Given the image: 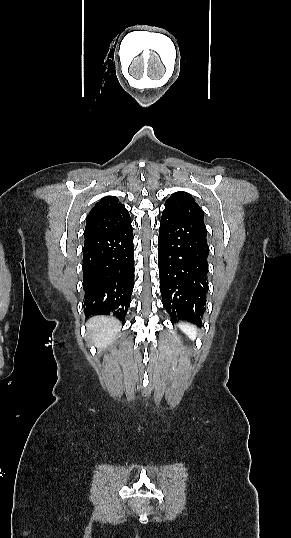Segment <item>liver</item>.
I'll list each match as a JSON object with an SVG mask.
<instances>
[{
  "instance_id": "liver-1",
  "label": "liver",
  "mask_w": 291,
  "mask_h": 538,
  "mask_svg": "<svg viewBox=\"0 0 291 538\" xmlns=\"http://www.w3.org/2000/svg\"><path fill=\"white\" fill-rule=\"evenodd\" d=\"M91 341L100 349L107 348L116 338L121 328L120 322L112 316H96L87 322Z\"/></svg>"
}]
</instances>
